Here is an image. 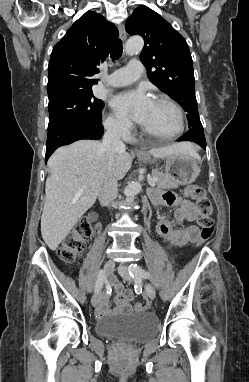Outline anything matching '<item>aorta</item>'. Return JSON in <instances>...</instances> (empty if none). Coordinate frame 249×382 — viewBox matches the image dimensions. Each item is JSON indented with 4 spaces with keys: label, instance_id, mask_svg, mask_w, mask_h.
Wrapping results in <instances>:
<instances>
[{
    "label": "aorta",
    "instance_id": "762f6f07",
    "mask_svg": "<svg viewBox=\"0 0 249 382\" xmlns=\"http://www.w3.org/2000/svg\"><path fill=\"white\" fill-rule=\"evenodd\" d=\"M144 41L140 36H134L128 39L125 45V52L128 55H133L142 50ZM141 190V184L138 182L130 183L124 190L126 196H135Z\"/></svg>",
    "mask_w": 249,
    "mask_h": 382
}]
</instances>
